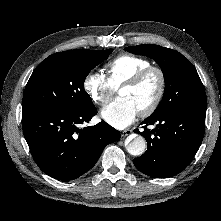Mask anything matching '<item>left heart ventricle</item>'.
<instances>
[{"label":"left heart ventricle","mask_w":221,"mask_h":221,"mask_svg":"<svg viewBox=\"0 0 221 221\" xmlns=\"http://www.w3.org/2000/svg\"><path fill=\"white\" fill-rule=\"evenodd\" d=\"M158 87V75L151 73L140 84L121 88L119 95L129 98L135 104L138 111H140L153 101L157 94Z\"/></svg>","instance_id":"obj_1"}]
</instances>
